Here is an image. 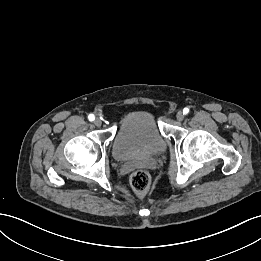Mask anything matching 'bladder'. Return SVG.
Segmentation results:
<instances>
[{"label": "bladder", "mask_w": 261, "mask_h": 261, "mask_svg": "<svg viewBox=\"0 0 261 261\" xmlns=\"http://www.w3.org/2000/svg\"><path fill=\"white\" fill-rule=\"evenodd\" d=\"M166 148L155 116L147 110L128 113L121 121L112 144L116 160H128L140 155H156Z\"/></svg>", "instance_id": "obj_1"}]
</instances>
